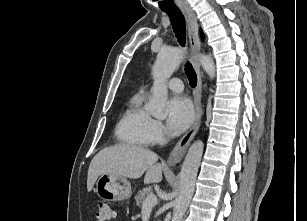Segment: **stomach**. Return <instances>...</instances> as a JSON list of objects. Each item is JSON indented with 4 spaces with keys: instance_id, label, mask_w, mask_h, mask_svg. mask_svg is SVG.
<instances>
[{
    "instance_id": "1",
    "label": "stomach",
    "mask_w": 307,
    "mask_h": 221,
    "mask_svg": "<svg viewBox=\"0 0 307 221\" xmlns=\"http://www.w3.org/2000/svg\"><path fill=\"white\" fill-rule=\"evenodd\" d=\"M95 192L108 201H119L132 195L130 182L121 176L102 174L96 182Z\"/></svg>"
}]
</instances>
